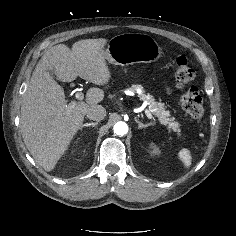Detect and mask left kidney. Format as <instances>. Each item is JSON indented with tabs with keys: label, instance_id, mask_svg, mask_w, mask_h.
Listing matches in <instances>:
<instances>
[{
	"label": "left kidney",
	"instance_id": "5707ae66",
	"mask_svg": "<svg viewBox=\"0 0 236 236\" xmlns=\"http://www.w3.org/2000/svg\"><path fill=\"white\" fill-rule=\"evenodd\" d=\"M152 153H153V154H158V153H159V150L155 147V148H153Z\"/></svg>",
	"mask_w": 236,
	"mask_h": 236
}]
</instances>
